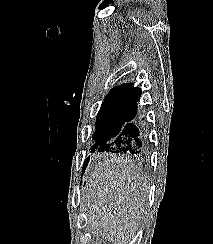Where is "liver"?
<instances>
[{"mask_svg":"<svg viewBox=\"0 0 213 244\" xmlns=\"http://www.w3.org/2000/svg\"><path fill=\"white\" fill-rule=\"evenodd\" d=\"M148 190L147 176L127 159L112 156L98 160L86 180L92 232L114 244H127L143 219Z\"/></svg>","mask_w":213,"mask_h":244,"instance_id":"1","label":"liver"}]
</instances>
